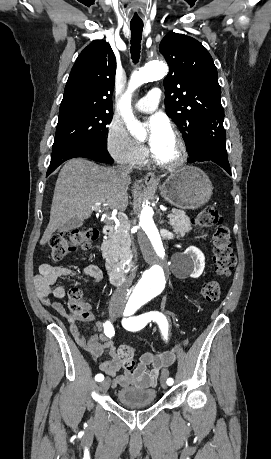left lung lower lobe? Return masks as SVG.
Wrapping results in <instances>:
<instances>
[{"label":"left lung lower lobe","mask_w":271,"mask_h":459,"mask_svg":"<svg viewBox=\"0 0 271 459\" xmlns=\"http://www.w3.org/2000/svg\"><path fill=\"white\" fill-rule=\"evenodd\" d=\"M200 149L194 157L189 158V162L212 161L231 175V168L226 151V132L223 127V120L208 127L198 136Z\"/></svg>","instance_id":"obj_1"}]
</instances>
